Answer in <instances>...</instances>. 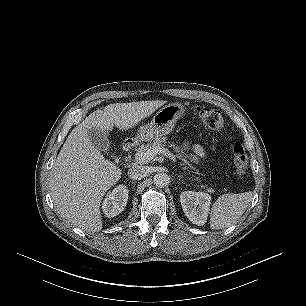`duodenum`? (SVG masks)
Instances as JSON below:
<instances>
[{"label":"duodenum","mask_w":306,"mask_h":306,"mask_svg":"<svg viewBox=\"0 0 306 306\" xmlns=\"http://www.w3.org/2000/svg\"><path fill=\"white\" fill-rule=\"evenodd\" d=\"M132 146H133V142L128 140L123 144L122 148L125 152H128L131 150Z\"/></svg>","instance_id":"410a0bca"}]
</instances>
